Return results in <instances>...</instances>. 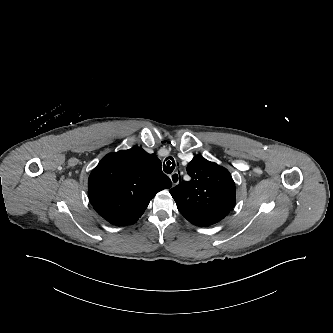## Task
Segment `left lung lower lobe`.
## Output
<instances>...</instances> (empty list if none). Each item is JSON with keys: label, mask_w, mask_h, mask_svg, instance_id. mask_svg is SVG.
I'll use <instances>...</instances> for the list:
<instances>
[{"label": "left lung lower lobe", "mask_w": 333, "mask_h": 333, "mask_svg": "<svg viewBox=\"0 0 333 333\" xmlns=\"http://www.w3.org/2000/svg\"><path fill=\"white\" fill-rule=\"evenodd\" d=\"M177 208L189 222L197 226H210L215 224L230 212V210L226 209L200 210L184 205L177 206Z\"/></svg>", "instance_id": "1"}]
</instances>
